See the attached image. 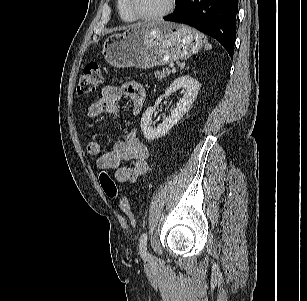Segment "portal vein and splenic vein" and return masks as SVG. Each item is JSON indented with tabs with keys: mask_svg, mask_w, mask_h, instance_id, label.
Listing matches in <instances>:
<instances>
[{
	"mask_svg": "<svg viewBox=\"0 0 307 301\" xmlns=\"http://www.w3.org/2000/svg\"><path fill=\"white\" fill-rule=\"evenodd\" d=\"M169 67L174 68V64L173 63L169 64Z\"/></svg>",
	"mask_w": 307,
	"mask_h": 301,
	"instance_id": "1",
	"label": "portal vein and splenic vein"
}]
</instances>
